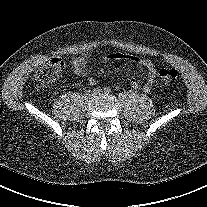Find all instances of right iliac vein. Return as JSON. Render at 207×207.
I'll list each match as a JSON object with an SVG mask.
<instances>
[{"label": "right iliac vein", "mask_w": 207, "mask_h": 207, "mask_svg": "<svg viewBox=\"0 0 207 207\" xmlns=\"http://www.w3.org/2000/svg\"><path fill=\"white\" fill-rule=\"evenodd\" d=\"M87 95L91 96V95H92V93H91V92H88V93H87Z\"/></svg>", "instance_id": "63e3f726"}]
</instances>
